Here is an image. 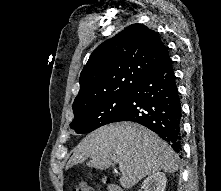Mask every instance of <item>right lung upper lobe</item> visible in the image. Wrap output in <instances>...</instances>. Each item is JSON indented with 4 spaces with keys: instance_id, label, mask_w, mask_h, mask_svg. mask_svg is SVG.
<instances>
[{
    "instance_id": "right-lung-upper-lobe-1",
    "label": "right lung upper lobe",
    "mask_w": 221,
    "mask_h": 191,
    "mask_svg": "<svg viewBox=\"0 0 221 191\" xmlns=\"http://www.w3.org/2000/svg\"><path fill=\"white\" fill-rule=\"evenodd\" d=\"M168 56L157 32L142 24L126 27L91 54L80 75L73 111L132 91Z\"/></svg>"
}]
</instances>
